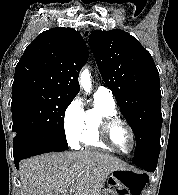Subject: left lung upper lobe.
<instances>
[{"label": "left lung upper lobe", "instance_id": "obj_1", "mask_svg": "<svg viewBox=\"0 0 178 195\" xmlns=\"http://www.w3.org/2000/svg\"><path fill=\"white\" fill-rule=\"evenodd\" d=\"M89 45L104 82L135 134L134 155L160 148V79L150 53L120 29L93 31Z\"/></svg>", "mask_w": 178, "mask_h": 195}]
</instances>
